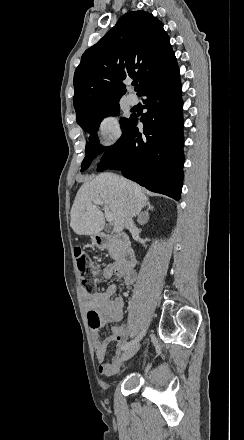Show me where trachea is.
Wrapping results in <instances>:
<instances>
[{"label": "trachea", "instance_id": "1", "mask_svg": "<svg viewBox=\"0 0 244 440\" xmlns=\"http://www.w3.org/2000/svg\"><path fill=\"white\" fill-rule=\"evenodd\" d=\"M132 83H133V85H137L138 81L134 80Z\"/></svg>", "mask_w": 244, "mask_h": 440}]
</instances>
